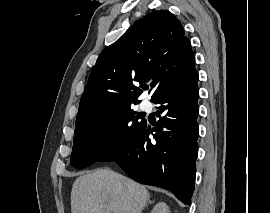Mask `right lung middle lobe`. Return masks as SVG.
<instances>
[{"label":"right lung middle lobe","instance_id":"1","mask_svg":"<svg viewBox=\"0 0 270 213\" xmlns=\"http://www.w3.org/2000/svg\"><path fill=\"white\" fill-rule=\"evenodd\" d=\"M130 106H121L75 124L73 167L81 169L100 161L144 123Z\"/></svg>","mask_w":270,"mask_h":213}]
</instances>
